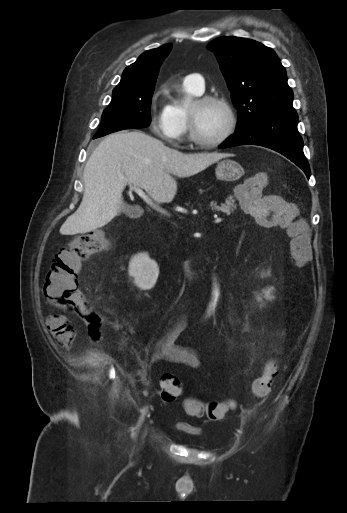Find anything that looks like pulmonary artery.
Returning a JSON list of instances; mask_svg holds the SVG:
<instances>
[{
	"mask_svg": "<svg viewBox=\"0 0 347 513\" xmlns=\"http://www.w3.org/2000/svg\"><path fill=\"white\" fill-rule=\"evenodd\" d=\"M185 81L196 89L199 93H202L205 88V79L199 73L189 74L185 77Z\"/></svg>",
	"mask_w": 347,
	"mask_h": 513,
	"instance_id": "e3ab8cb5",
	"label": "pulmonary artery"
}]
</instances>
